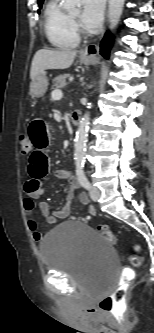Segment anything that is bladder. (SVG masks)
<instances>
[{"label": "bladder", "mask_w": 154, "mask_h": 333, "mask_svg": "<svg viewBox=\"0 0 154 333\" xmlns=\"http://www.w3.org/2000/svg\"><path fill=\"white\" fill-rule=\"evenodd\" d=\"M44 268L70 277L84 288H111L117 270L112 245L81 221L64 222L51 229L39 245Z\"/></svg>", "instance_id": "1"}]
</instances>
